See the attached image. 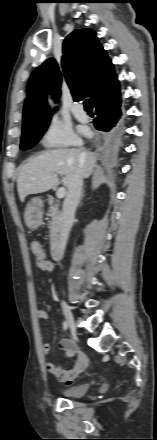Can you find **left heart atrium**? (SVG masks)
Returning a JSON list of instances; mask_svg holds the SVG:
<instances>
[{
    "label": "left heart atrium",
    "instance_id": "left-heart-atrium-1",
    "mask_svg": "<svg viewBox=\"0 0 157 440\" xmlns=\"http://www.w3.org/2000/svg\"><path fill=\"white\" fill-rule=\"evenodd\" d=\"M78 129L84 135L89 133V130H88V128L86 126L81 125V126L78 127Z\"/></svg>",
    "mask_w": 157,
    "mask_h": 440
}]
</instances>
